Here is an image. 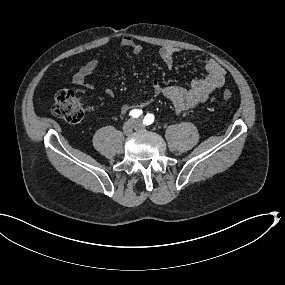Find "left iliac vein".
<instances>
[{"label": "left iliac vein", "mask_w": 285, "mask_h": 285, "mask_svg": "<svg viewBox=\"0 0 285 285\" xmlns=\"http://www.w3.org/2000/svg\"><path fill=\"white\" fill-rule=\"evenodd\" d=\"M135 123H137V124H138V126H137V129H136V130H140V127H139V125H140V119L135 120Z\"/></svg>", "instance_id": "obj_1"}]
</instances>
